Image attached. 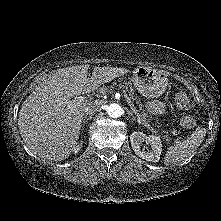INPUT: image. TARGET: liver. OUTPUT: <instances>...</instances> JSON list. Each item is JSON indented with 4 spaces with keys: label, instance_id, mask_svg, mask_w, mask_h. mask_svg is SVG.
<instances>
[{
    "label": "liver",
    "instance_id": "6515ba94",
    "mask_svg": "<svg viewBox=\"0 0 221 221\" xmlns=\"http://www.w3.org/2000/svg\"><path fill=\"white\" fill-rule=\"evenodd\" d=\"M88 69L86 64L57 70L23 102L19 111V131L35 155L51 161L68 158L79 139L84 110L94 102L74 104L71 99L95 91L129 71L95 67L89 78Z\"/></svg>",
    "mask_w": 221,
    "mask_h": 221
}]
</instances>
